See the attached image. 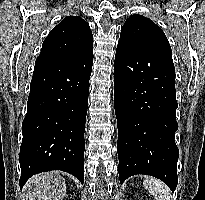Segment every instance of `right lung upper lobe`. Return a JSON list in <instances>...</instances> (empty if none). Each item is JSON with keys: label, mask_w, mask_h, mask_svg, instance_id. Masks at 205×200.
I'll list each match as a JSON object with an SVG mask.
<instances>
[{"label": "right lung upper lobe", "mask_w": 205, "mask_h": 200, "mask_svg": "<svg viewBox=\"0 0 205 200\" xmlns=\"http://www.w3.org/2000/svg\"><path fill=\"white\" fill-rule=\"evenodd\" d=\"M93 49L89 24L81 17L67 16L44 40L39 57H75Z\"/></svg>", "instance_id": "1"}]
</instances>
